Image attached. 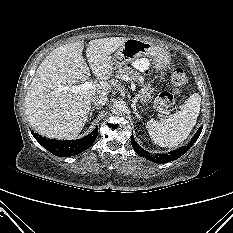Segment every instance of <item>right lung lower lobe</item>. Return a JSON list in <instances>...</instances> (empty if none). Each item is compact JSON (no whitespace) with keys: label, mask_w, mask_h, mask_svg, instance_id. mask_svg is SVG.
Segmentation results:
<instances>
[{"label":"right lung lower lobe","mask_w":233,"mask_h":233,"mask_svg":"<svg viewBox=\"0 0 233 233\" xmlns=\"http://www.w3.org/2000/svg\"><path fill=\"white\" fill-rule=\"evenodd\" d=\"M98 127H96L87 136L77 140H53L42 137L37 133L32 132L35 139L52 154L59 157H69L77 155L82 151L88 149L96 140Z\"/></svg>","instance_id":"obj_1"}]
</instances>
